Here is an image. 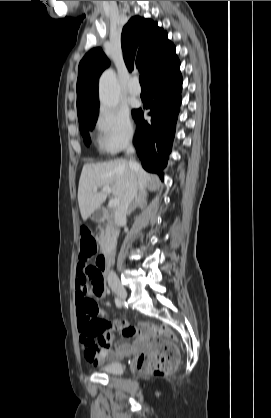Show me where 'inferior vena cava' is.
Here are the masks:
<instances>
[{
  "instance_id": "602c4592",
  "label": "inferior vena cava",
  "mask_w": 271,
  "mask_h": 418,
  "mask_svg": "<svg viewBox=\"0 0 271 418\" xmlns=\"http://www.w3.org/2000/svg\"><path fill=\"white\" fill-rule=\"evenodd\" d=\"M135 150L132 146H129L127 149V153H134ZM129 166L131 168L129 180L126 185V192L121 200L119 206L117 207L115 214H114V221L117 225H121L122 223L126 222V215L128 212V208L135 197H137V178L134 172V168L136 163L134 161L129 162ZM108 283L117 284L119 283L118 277L115 272L110 271L107 277Z\"/></svg>"
}]
</instances>
